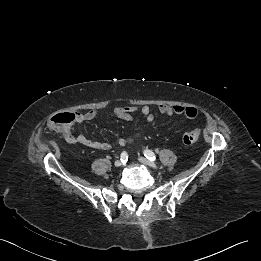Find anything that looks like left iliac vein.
I'll return each instance as SVG.
<instances>
[{
	"label": "left iliac vein",
	"mask_w": 261,
	"mask_h": 261,
	"mask_svg": "<svg viewBox=\"0 0 261 261\" xmlns=\"http://www.w3.org/2000/svg\"><path fill=\"white\" fill-rule=\"evenodd\" d=\"M139 161H140L142 164H144V165H146V166H149V167H151V168H153V169H158L157 165H156L154 162H152V161L146 159L145 157H140V158H139Z\"/></svg>",
	"instance_id": "1"
}]
</instances>
